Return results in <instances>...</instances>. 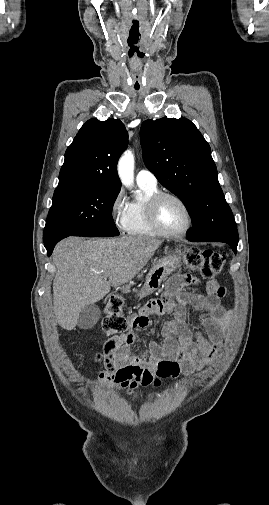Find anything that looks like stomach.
Returning a JSON list of instances; mask_svg holds the SVG:
<instances>
[{"label":"stomach","mask_w":269,"mask_h":505,"mask_svg":"<svg viewBox=\"0 0 269 505\" xmlns=\"http://www.w3.org/2000/svg\"><path fill=\"white\" fill-rule=\"evenodd\" d=\"M181 266V258L176 255H168L159 259L146 276L142 295H148L161 286L162 281Z\"/></svg>","instance_id":"0dacf381"}]
</instances>
